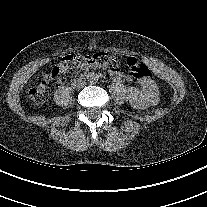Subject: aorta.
<instances>
[{"instance_id":"obj_1","label":"aorta","mask_w":207,"mask_h":207,"mask_svg":"<svg viewBox=\"0 0 207 207\" xmlns=\"http://www.w3.org/2000/svg\"><path fill=\"white\" fill-rule=\"evenodd\" d=\"M98 80H99V76H98V74L92 72V73H90V74L88 75V81H89L90 83H93V84H94V83H97Z\"/></svg>"}]
</instances>
